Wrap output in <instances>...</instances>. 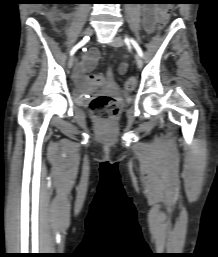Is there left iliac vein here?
<instances>
[{"label":"left iliac vein","instance_id":"obj_1","mask_svg":"<svg viewBox=\"0 0 218 257\" xmlns=\"http://www.w3.org/2000/svg\"><path fill=\"white\" fill-rule=\"evenodd\" d=\"M111 45L113 47H121L124 45V40L120 36H116L112 40ZM135 59H136V64H137L138 68L141 69L143 67V61H142L141 57L139 55H136Z\"/></svg>","mask_w":218,"mask_h":257}]
</instances>
